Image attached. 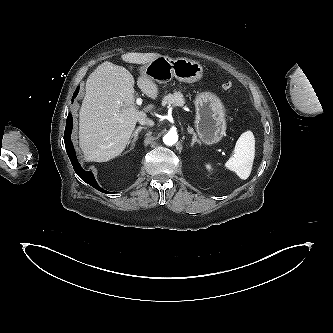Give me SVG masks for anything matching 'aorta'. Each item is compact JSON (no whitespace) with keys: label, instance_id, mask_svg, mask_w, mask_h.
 <instances>
[{"label":"aorta","instance_id":"762f6f07","mask_svg":"<svg viewBox=\"0 0 333 333\" xmlns=\"http://www.w3.org/2000/svg\"><path fill=\"white\" fill-rule=\"evenodd\" d=\"M178 141V135L174 131H169L166 135L163 137V142L168 145L172 146Z\"/></svg>","mask_w":333,"mask_h":333}]
</instances>
